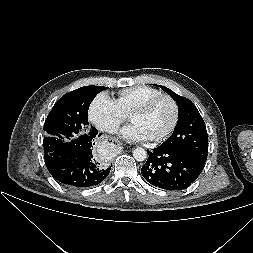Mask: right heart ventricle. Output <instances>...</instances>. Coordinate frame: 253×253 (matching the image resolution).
Returning <instances> with one entry per match:
<instances>
[{
  "mask_svg": "<svg viewBox=\"0 0 253 253\" xmlns=\"http://www.w3.org/2000/svg\"><path fill=\"white\" fill-rule=\"evenodd\" d=\"M159 94L161 91L155 87L136 85L121 89L115 101L124 114L130 115L143 102Z\"/></svg>",
  "mask_w": 253,
  "mask_h": 253,
  "instance_id": "1",
  "label": "right heart ventricle"
}]
</instances>
